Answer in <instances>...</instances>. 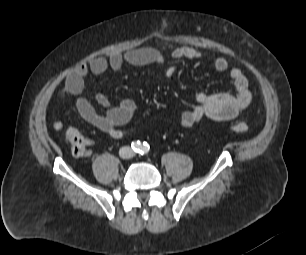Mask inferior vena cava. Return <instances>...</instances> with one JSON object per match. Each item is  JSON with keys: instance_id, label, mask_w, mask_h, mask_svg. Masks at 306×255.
<instances>
[{"instance_id": "inferior-vena-cava-1", "label": "inferior vena cava", "mask_w": 306, "mask_h": 255, "mask_svg": "<svg viewBox=\"0 0 306 255\" xmlns=\"http://www.w3.org/2000/svg\"><path fill=\"white\" fill-rule=\"evenodd\" d=\"M119 154L122 158H131L134 155V152L130 147H122Z\"/></svg>"}]
</instances>
